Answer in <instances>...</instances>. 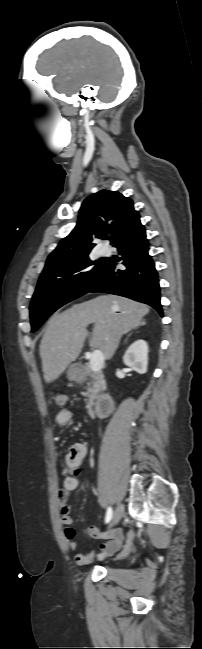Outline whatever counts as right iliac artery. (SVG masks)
I'll return each instance as SVG.
<instances>
[{
    "label": "right iliac artery",
    "mask_w": 202,
    "mask_h": 649,
    "mask_svg": "<svg viewBox=\"0 0 202 649\" xmlns=\"http://www.w3.org/2000/svg\"><path fill=\"white\" fill-rule=\"evenodd\" d=\"M112 516H113V511H112V508L109 507V508L107 509V513H106V517H105V522H106V523L110 522V520L112 519Z\"/></svg>",
    "instance_id": "obj_1"
}]
</instances>
